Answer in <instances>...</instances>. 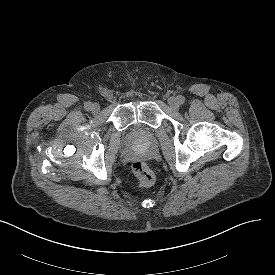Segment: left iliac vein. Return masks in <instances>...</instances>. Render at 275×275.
<instances>
[{"mask_svg":"<svg viewBox=\"0 0 275 275\" xmlns=\"http://www.w3.org/2000/svg\"><path fill=\"white\" fill-rule=\"evenodd\" d=\"M168 104L174 109V110H177L179 108V101L176 97H170L168 99Z\"/></svg>","mask_w":275,"mask_h":275,"instance_id":"4c4485c4","label":"left iliac vein"}]
</instances>
